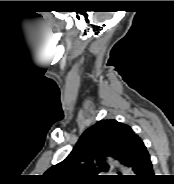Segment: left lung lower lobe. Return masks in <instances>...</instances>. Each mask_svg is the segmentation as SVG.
<instances>
[{
	"mask_svg": "<svg viewBox=\"0 0 174 184\" xmlns=\"http://www.w3.org/2000/svg\"><path fill=\"white\" fill-rule=\"evenodd\" d=\"M127 166L131 167L135 173L133 176H126V179L131 182L136 184L149 183L153 178L150 156L142 140L135 145L128 159Z\"/></svg>",
	"mask_w": 174,
	"mask_h": 184,
	"instance_id": "1",
	"label": "left lung lower lobe"
}]
</instances>
